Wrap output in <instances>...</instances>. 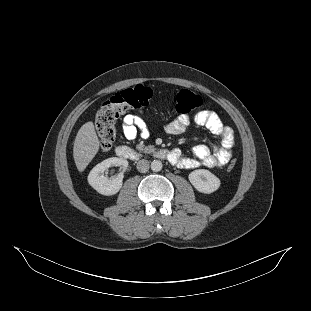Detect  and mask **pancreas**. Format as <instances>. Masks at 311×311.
<instances>
[{
  "mask_svg": "<svg viewBox=\"0 0 311 311\" xmlns=\"http://www.w3.org/2000/svg\"><path fill=\"white\" fill-rule=\"evenodd\" d=\"M154 149H155L154 145L144 146L143 144H138V146H137V150H139V151L144 150L147 153L154 151Z\"/></svg>",
  "mask_w": 311,
  "mask_h": 311,
  "instance_id": "obj_1",
  "label": "pancreas"
}]
</instances>
